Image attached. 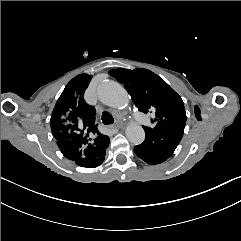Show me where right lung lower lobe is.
I'll return each mask as SVG.
<instances>
[{
    "mask_svg": "<svg viewBox=\"0 0 241 241\" xmlns=\"http://www.w3.org/2000/svg\"><path fill=\"white\" fill-rule=\"evenodd\" d=\"M109 143H110V139L107 141V144H105L104 147L101 149V155L99 156L97 161L92 166H84V167L95 168V167L99 166L100 164H102V162L104 161L106 149L108 148Z\"/></svg>",
    "mask_w": 241,
    "mask_h": 241,
    "instance_id": "right-lung-lower-lobe-1",
    "label": "right lung lower lobe"
}]
</instances>
